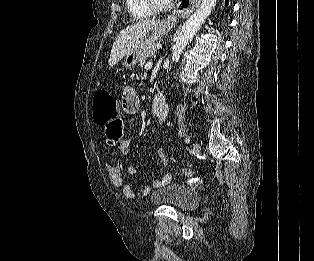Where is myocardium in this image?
Instances as JSON below:
<instances>
[{"mask_svg": "<svg viewBox=\"0 0 314 261\" xmlns=\"http://www.w3.org/2000/svg\"><path fill=\"white\" fill-rule=\"evenodd\" d=\"M173 1H169L167 3H159L157 0H146L147 4L149 7L154 11V12H166L170 10L173 6Z\"/></svg>", "mask_w": 314, "mask_h": 261, "instance_id": "1", "label": "myocardium"}]
</instances>
